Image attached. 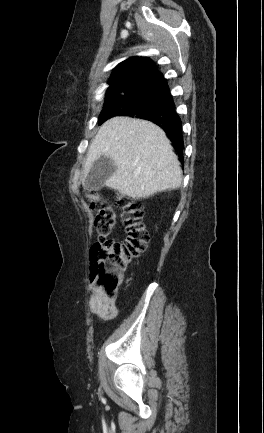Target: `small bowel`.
<instances>
[{"label":"small bowel","instance_id":"c3829d8e","mask_svg":"<svg viewBox=\"0 0 264 433\" xmlns=\"http://www.w3.org/2000/svg\"><path fill=\"white\" fill-rule=\"evenodd\" d=\"M90 289L89 309L91 313L104 321L116 318L119 312L116 305V297L110 298L105 296L94 282L90 284Z\"/></svg>","mask_w":264,"mask_h":433}]
</instances>
